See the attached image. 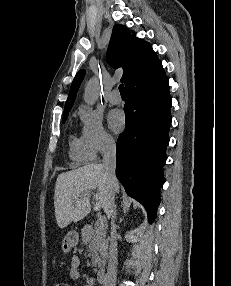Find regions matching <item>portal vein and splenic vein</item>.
I'll return each mask as SVG.
<instances>
[{
	"label": "portal vein and splenic vein",
	"mask_w": 231,
	"mask_h": 286,
	"mask_svg": "<svg viewBox=\"0 0 231 286\" xmlns=\"http://www.w3.org/2000/svg\"><path fill=\"white\" fill-rule=\"evenodd\" d=\"M105 223H106V219L104 216H99L96 220V223L95 225L98 227V228H104L105 227Z\"/></svg>",
	"instance_id": "18ae733b"
}]
</instances>
